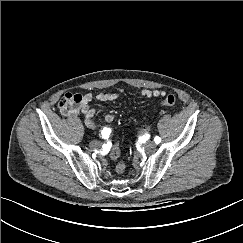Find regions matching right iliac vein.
<instances>
[{"mask_svg":"<svg viewBox=\"0 0 243 243\" xmlns=\"http://www.w3.org/2000/svg\"><path fill=\"white\" fill-rule=\"evenodd\" d=\"M99 147H100V142L97 141V140H94V141H92V142L90 143V148H91V149H97V148H99Z\"/></svg>","mask_w":243,"mask_h":243,"instance_id":"1","label":"right iliac vein"}]
</instances>
